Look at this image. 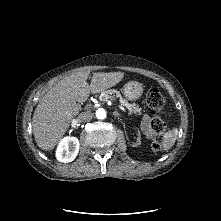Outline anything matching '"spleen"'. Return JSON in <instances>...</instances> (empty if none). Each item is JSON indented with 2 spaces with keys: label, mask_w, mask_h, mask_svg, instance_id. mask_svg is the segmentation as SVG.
Wrapping results in <instances>:
<instances>
[{
  "label": "spleen",
  "mask_w": 221,
  "mask_h": 221,
  "mask_svg": "<svg viewBox=\"0 0 221 221\" xmlns=\"http://www.w3.org/2000/svg\"><path fill=\"white\" fill-rule=\"evenodd\" d=\"M176 140V131L171 130L164 134L163 136V149L169 150L175 143Z\"/></svg>",
  "instance_id": "spleen-1"
}]
</instances>
